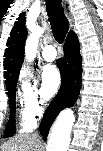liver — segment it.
<instances>
[{"label":"liver","instance_id":"obj_1","mask_svg":"<svg viewBox=\"0 0 103 151\" xmlns=\"http://www.w3.org/2000/svg\"><path fill=\"white\" fill-rule=\"evenodd\" d=\"M40 149L41 141L36 134L15 136L0 147V151H40Z\"/></svg>","mask_w":103,"mask_h":151}]
</instances>
